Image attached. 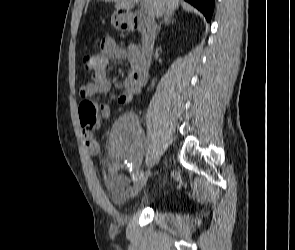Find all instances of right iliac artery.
Segmentation results:
<instances>
[{
    "mask_svg": "<svg viewBox=\"0 0 295 250\" xmlns=\"http://www.w3.org/2000/svg\"><path fill=\"white\" fill-rule=\"evenodd\" d=\"M132 166V164H131ZM144 175V171L137 170L135 174L133 175V181L136 182L140 177Z\"/></svg>",
    "mask_w": 295,
    "mask_h": 250,
    "instance_id": "obj_1",
    "label": "right iliac artery"
}]
</instances>
